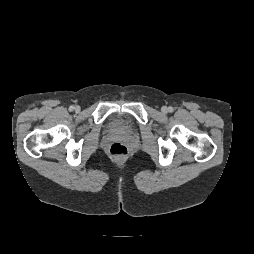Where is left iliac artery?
Wrapping results in <instances>:
<instances>
[{
	"label": "left iliac artery",
	"mask_w": 254,
	"mask_h": 254,
	"mask_svg": "<svg viewBox=\"0 0 254 254\" xmlns=\"http://www.w3.org/2000/svg\"><path fill=\"white\" fill-rule=\"evenodd\" d=\"M168 111H169V112H173V107H171V106L168 107Z\"/></svg>",
	"instance_id": "1"
}]
</instances>
